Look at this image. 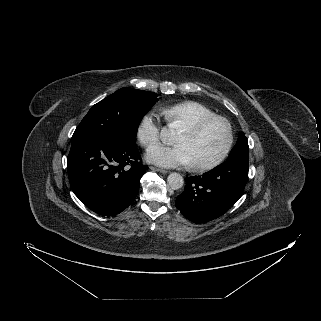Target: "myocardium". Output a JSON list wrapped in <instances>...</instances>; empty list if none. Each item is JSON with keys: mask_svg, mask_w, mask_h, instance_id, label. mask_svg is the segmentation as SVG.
<instances>
[{"mask_svg": "<svg viewBox=\"0 0 321 321\" xmlns=\"http://www.w3.org/2000/svg\"><path fill=\"white\" fill-rule=\"evenodd\" d=\"M213 122H220L224 125L226 132H227V139H226L225 145H224L222 151L220 152V154L212 161L206 162V163L191 164V169L193 171L202 172V171H208V170L216 168L227 158V156L229 155V153L232 149L233 142H234L233 127H232L231 122L223 116L213 115V116L199 119L196 122L183 127V130L190 133V134H197L202 129H204L207 125H209Z\"/></svg>", "mask_w": 321, "mask_h": 321, "instance_id": "f54148a6", "label": "myocardium"}]
</instances>
